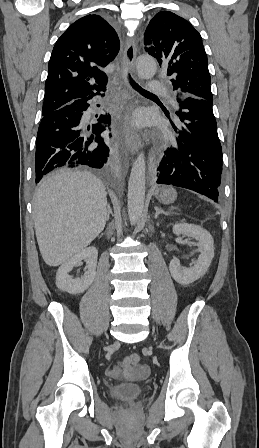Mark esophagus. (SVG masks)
I'll use <instances>...</instances> for the list:
<instances>
[{
  "mask_svg": "<svg viewBox=\"0 0 259 448\" xmlns=\"http://www.w3.org/2000/svg\"><path fill=\"white\" fill-rule=\"evenodd\" d=\"M137 56V43L135 38H129L126 41L123 59H122V69L124 72L130 71V73L135 76V59ZM124 82L127 84V80L124 77ZM133 107L129 108V113H131ZM126 142L132 153H135L141 147V138L139 134L130 126L126 127Z\"/></svg>",
  "mask_w": 259,
  "mask_h": 448,
  "instance_id": "esophagus-1",
  "label": "esophagus"
}]
</instances>
